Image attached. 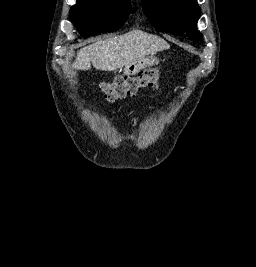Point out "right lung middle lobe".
I'll list each match as a JSON object with an SVG mask.
<instances>
[{"label":"right lung middle lobe","mask_w":256,"mask_h":267,"mask_svg":"<svg viewBox=\"0 0 256 267\" xmlns=\"http://www.w3.org/2000/svg\"><path fill=\"white\" fill-rule=\"evenodd\" d=\"M129 2L116 0H82L72 6V22L83 37L120 29L131 13Z\"/></svg>","instance_id":"obj_1"}]
</instances>
